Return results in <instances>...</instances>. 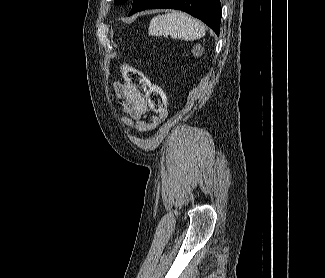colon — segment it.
Returning a JSON list of instances; mask_svg holds the SVG:
<instances>
[{"label": "colon", "instance_id": "colon-1", "mask_svg": "<svg viewBox=\"0 0 325 278\" xmlns=\"http://www.w3.org/2000/svg\"><path fill=\"white\" fill-rule=\"evenodd\" d=\"M121 72L125 81L137 89L152 111L158 113L165 112V95L158 85L154 84L140 70L130 65H122Z\"/></svg>", "mask_w": 325, "mask_h": 278}]
</instances>
